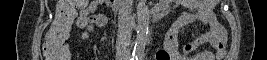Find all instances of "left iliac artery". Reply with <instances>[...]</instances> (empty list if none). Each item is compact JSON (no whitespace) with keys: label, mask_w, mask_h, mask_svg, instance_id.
Wrapping results in <instances>:
<instances>
[{"label":"left iliac artery","mask_w":267,"mask_h":60,"mask_svg":"<svg viewBox=\"0 0 267 60\" xmlns=\"http://www.w3.org/2000/svg\"><path fill=\"white\" fill-rule=\"evenodd\" d=\"M143 59H144V54H140V55H138L137 60H143Z\"/></svg>","instance_id":"left-iliac-artery-1"}]
</instances>
